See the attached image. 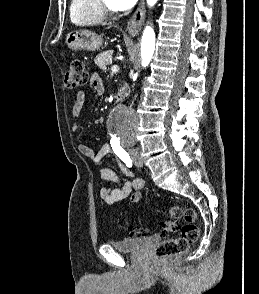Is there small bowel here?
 I'll use <instances>...</instances> for the list:
<instances>
[{"mask_svg":"<svg viewBox=\"0 0 259 294\" xmlns=\"http://www.w3.org/2000/svg\"><path fill=\"white\" fill-rule=\"evenodd\" d=\"M91 85L97 94L102 95L104 93V85L98 75L94 74L91 78ZM86 102V94L83 91H79L76 96V100L72 106V116L78 119ZM78 125L73 126V131H77ZM79 152L86 158L92 160L95 164H100L102 159L112 154V148L109 144H104L98 151H94L89 145L80 144L78 146ZM121 172L128 176L133 177L132 171L126 167L123 163L118 164ZM100 177L107 182H113L121 184L120 187L111 189L103 187L100 190V196L104 204L114 205L127 197L131 198L132 202H138L141 197V191L144 186V182L140 178H134L132 180L121 181L119 175L108 167L100 168Z\"/></svg>","mask_w":259,"mask_h":294,"instance_id":"small-bowel-1","label":"small bowel"}]
</instances>
